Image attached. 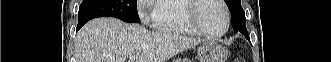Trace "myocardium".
<instances>
[{"instance_id":"obj_1","label":"myocardium","mask_w":331,"mask_h":62,"mask_svg":"<svg viewBox=\"0 0 331 62\" xmlns=\"http://www.w3.org/2000/svg\"><path fill=\"white\" fill-rule=\"evenodd\" d=\"M203 1H206V0H186L185 19H186L188 25L192 29H194L199 35H202V36H205L208 38L217 39V38L224 36L228 32L229 27H230V14H229V10H228L226 4L222 0H212V1L217 2L221 6L223 13H224L225 26H224V29L220 33H210L202 27V25L200 24V22L196 16L197 9Z\"/></svg>"}]
</instances>
